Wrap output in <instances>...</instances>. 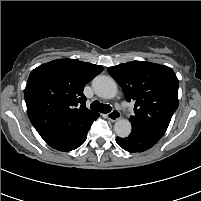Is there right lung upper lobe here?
<instances>
[{
	"mask_svg": "<svg viewBox=\"0 0 201 201\" xmlns=\"http://www.w3.org/2000/svg\"><path fill=\"white\" fill-rule=\"evenodd\" d=\"M102 71L99 65L59 59L30 73L24 96L28 117L40 136L78 133L99 117L86 108L83 89Z\"/></svg>",
	"mask_w": 201,
	"mask_h": 201,
	"instance_id": "obj_1",
	"label": "right lung upper lobe"
}]
</instances>
